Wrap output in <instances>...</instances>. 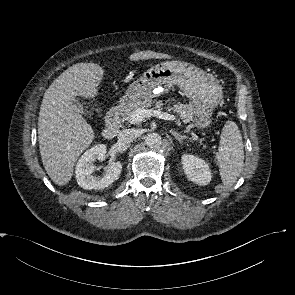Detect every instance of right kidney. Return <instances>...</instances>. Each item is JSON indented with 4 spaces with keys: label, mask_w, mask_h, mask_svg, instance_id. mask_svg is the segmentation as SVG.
Returning <instances> with one entry per match:
<instances>
[{
    "label": "right kidney",
    "mask_w": 295,
    "mask_h": 295,
    "mask_svg": "<svg viewBox=\"0 0 295 295\" xmlns=\"http://www.w3.org/2000/svg\"><path fill=\"white\" fill-rule=\"evenodd\" d=\"M106 152V146L99 144L88 149L80 157L75 168L77 183L80 187L87 190H101L110 186L119 178L122 170L120 162L109 165L102 177L92 175L95 169L94 162L96 160L103 161Z\"/></svg>",
    "instance_id": "1"
}]
</instances>
